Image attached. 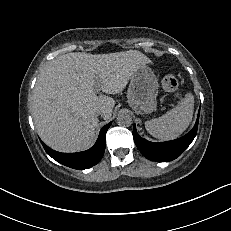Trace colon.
Masks as SVG:
<instances>
[{
	"label": "colon",
	"mask_w": 231,
	"mask_h": 231,
	"mask_svg": "<svg viewBox=\"0 0 231 231\" xmlns=\"http://www.w3.org/2000/svg\"><path fill=\"white\" fill-rule=\"evenodd\" d=\"M162 87L166 92L171 93L176 97L179 96V83L173 75H167L163 78Z\"/></svg>",
	"instance_id": "1"
}]
</instances>
